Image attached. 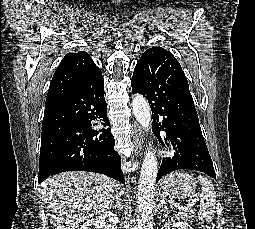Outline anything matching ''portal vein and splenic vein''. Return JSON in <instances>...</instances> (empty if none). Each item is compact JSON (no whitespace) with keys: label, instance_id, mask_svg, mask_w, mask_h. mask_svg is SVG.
<instances>
[{"label":"portal vein and splenic vein","instance_id":"portal-vein-and-splenic-vein-1","mask_svg":"<svg viewBox=\"0 0 255 229\" xmlns=\"http://www.w3.org/2000/svg\"><path fill=\"white\" fill-rule=\"evenodd\" d=\"M195 203H196L195 200L189 201L187 206H188V207H192V206L195 205Z\"/></svg>","mask_w":255,"mask_h":229}]
</instances>
